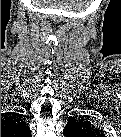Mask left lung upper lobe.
Instances as JSON below:
<instances>
[{
	"instance_id": "1",
	"label": "left lung upper lobe",
	"mask_w": 121,
	"mask_h": 137,
	"mask_svg": "<svg viewBox=\"0 0 121 137\" xmlns=\"http://www.w3.org/2000/svg\"><path fill=\"white\" fill-rule=\"evenodd\" d=\"M82 130L85 132L93 131L97 134L101 133V131H99V129L91 125V123H88L83 119L75 118V117H73L71 120L68 121L64 131H68L70 133H74V132L81 133Z\"/></svg>"
}]
</instances>
